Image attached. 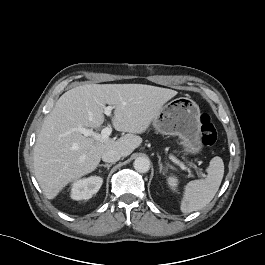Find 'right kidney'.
Listing matches in <instances>:
<instances>
[{
	"instance_id": "obj_1",
	"label": "right kidney",
	"mask_w": 265,
	"mask_h": 265,
	"mask_svg": "<svg viewBox=\"0 0 265 265\" xmlns=\"http://www.w3.org/2000/svg\"><path fill=\"white\" fill-rule=\"evenodd\" d=\"M102 183L103 179L99 176L79 179L72 184L71 198L73 200H88L99 191Z\"/></svg>"
}]
</instances>
